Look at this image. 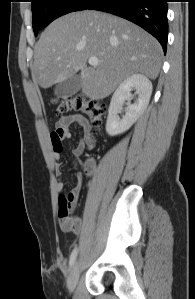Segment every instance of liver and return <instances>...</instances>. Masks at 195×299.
<instances>
[{"mask_svg":"<svg viewBox=\"0 0 195 299\" xmlns=\"http://www.w3.org/2000/svg\"><path fill=\"white\" fill-rule=\"evenodd\" d=\"M162 54L160 43L130 21L94 10L73 12L41 34L32 79L46 89L80 71L82 93L100 100L134 74L156 79ZM90 57L98 58V66H87Z\"/></svg>","mask_w":195,"mask_h":299,"instance_id":"6515ba94","label":"liver"}]
</instances>
